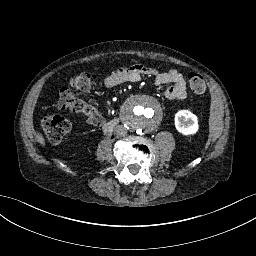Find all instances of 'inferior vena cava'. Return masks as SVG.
<instances>
[{
  "label": "inferior vena cava",
  "instance_id": "1",
  "mask_svg": "<svg viewBox=\"0 0 256 256\" xmlns=\"http://www.w3.org/2000/svg\"><path fill=\"white\" fill-rule=\"evenodd\" d=\"M114 133L116 136L118 137H123L125 136L127 133H128V130L125 126L123 125H117L115 128H114Z\"/></svg>",
  "mask_w": 256,
  "mask_h": 256
}]
</instances>
